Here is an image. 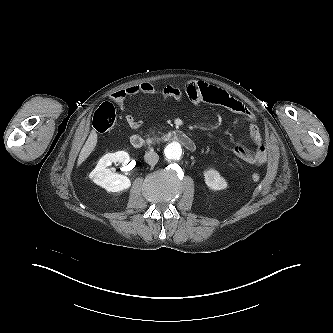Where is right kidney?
Here are the masks:
<instances>
[{
  "label": "right kidney",
  "instance_id": "ca27d5eb",
  "mask_svg": "<svg viewBox=\"0 0 333 333\" xmlns=\"http://www.w3.org/2000/svg\"><path fill=\"white\" fill-rule=\"evenodd\" d=\"M130 157L125 151H117L104 155L97 163L95 169L90 173L89 178L97 185L109 192H120L131 186L128 177L113 173L109 166L112 163L128 164Z\"/></svg>",
  "mask_w": 333,
  "mask_h": 333
}]
</instances>
